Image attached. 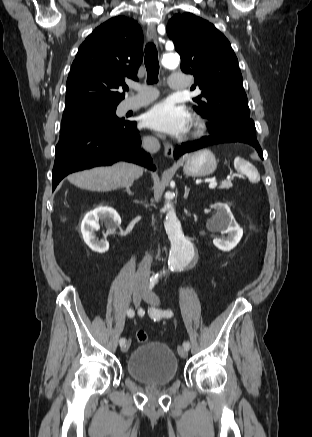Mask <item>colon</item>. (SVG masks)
Here are the masks:
<instances>
[{"instance_id":"1","label":"colon","mask_w":312,"mask_h":437,"mask_svg":"<svg viewBox=\"0 0 312 437\" xmlns=\"http://www.w3.org/2000/svg\"><path fill=\"white\" fill-rule=\"evenodd\" d=\"M135 335H136V339L140 343H145L149 339L148 338V334L145 331H143V330H138Z\"/></svg>"}]
</instances>
